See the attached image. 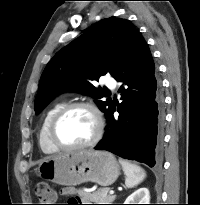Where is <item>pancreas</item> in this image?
Segmentation results:
<instances>
[{"instance_id": "cf45deb5", "label": "pancreas", "mask_w": 200, "mask_h": 205, "mask_svg": "<svg viewBox=\"0 0 200 205\" xmlns=\"http://www.w3.org/2000/svg\"><path fill=\"white\" fill-rule=\"evenodd\" d=\"M110 189L107 187L99 188L92 193H87L84 191H79L83 200L95 202L96 204H111L116 196L109 194Z\"/></svg>"}]
</instances>
